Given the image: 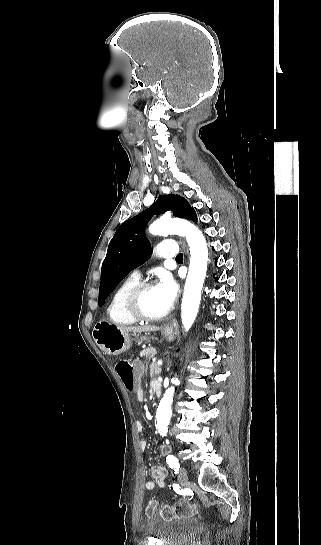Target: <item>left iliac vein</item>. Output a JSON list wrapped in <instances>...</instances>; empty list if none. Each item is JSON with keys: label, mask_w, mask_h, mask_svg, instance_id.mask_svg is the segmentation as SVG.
<instances>
[{"label": "left iliac vein", "mask_w": 321, "mask_h": 545, "mask_svg": "<svg viewBox=\"0 0 321 545\" xmlns=\"http://www.w3.org/2000/svg\"><path fill=\"white\" fill-rule=\"evenodd\" d=\"M178 481L181 484H184V483H186L188 481L187 471L184 468H180L178 470Z\"/></svg>", "instance_id": "left-iliac-vein-1"}]
</instances>
